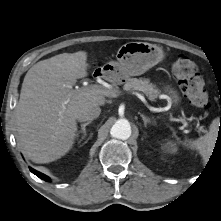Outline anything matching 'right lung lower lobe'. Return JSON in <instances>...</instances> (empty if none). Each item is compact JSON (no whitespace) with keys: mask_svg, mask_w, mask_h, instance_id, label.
Instances as JSON below:
<instances>
[{"mask_svg":"<svg viewBox=\"0 0 221 221\" xmlns=\"http://www.w3.org/2000/svg\"><path fill=\"white\" fill-rule=\"evenodd\" d=\"M30 171L32 173H34L36 176H38L39 178H41V179H43L45 181H49V177L48 176H46V175H44V174H42V173H40V172H38V171H36V170H34L32 168H30Z\"/></svg>","mask_w":221,"mask_h":221,"instance_id":"98d812e1","label":"right lung lower lobe"}]
</instances>
